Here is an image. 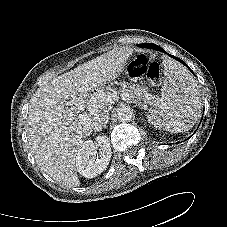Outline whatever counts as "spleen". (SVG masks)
<instances>
[{"label":"spleen","mask_w":227,"mask_h":227,"mask_svg":"<svg viewBox=\"0 0 227 227\" xmlns=\"http://www.w3.org/2000/svg\"><path fill=\"white\" fill-rule=\"evenodd\" d=\"M164 86L161 97L147 115L156 128L170 132L191 129L201 115V95L193 77L174 60L163 61Z\"/></svg>","instance_id":"1"}]
</instances>
